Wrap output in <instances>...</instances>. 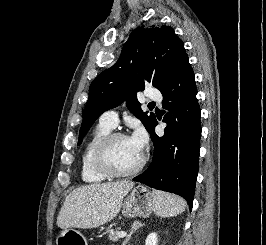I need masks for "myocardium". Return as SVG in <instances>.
I'll use <instances>...</instances> for the list:
<instances>
[{
  "instance_id": "myocardium-1",
  "label": "myocardium",
  "mask_w": 266,
  "mask_h": 245,
  "mask_svg": "<svg viewBox=\"0 0 266 245\" xmlns=\"http://www.w3.org/2000/svg\"><path fill=\"white\" fill-rule=\"evenodd\" d=\"M120 137H127L119 131H111L97 145L93 154V162L96 170L109 179L129 178L136 175L144 166V156L141 154L137 165L129 172L115 171L110 164V150L113 142Z\"/></svg>"
}]
</instances>
